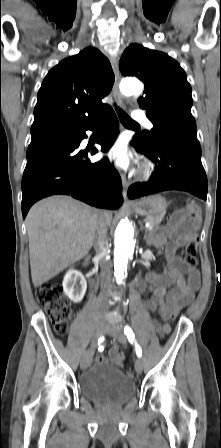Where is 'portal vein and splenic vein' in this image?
I'll list each match as a JSON object with an SVG mask.
<instances>
[{
    "mask_svg": "<svg viewBox=\"0 0 221 448\" xmlns=\"http://www.w3.org/2000/svg\"><path fill=\"white\" fill-rule=\"evenodd\" d=\"M145 226H146V228H148L149 230L152 229V226L150 225V223H146Z\"/></svg>",
    "mask_w": 221,
    "mask_h": 448,
    "instance_id": "1",
    "label": "portal vein and splenic vein"
}]
</instances>
